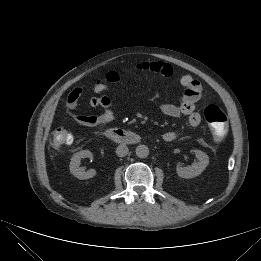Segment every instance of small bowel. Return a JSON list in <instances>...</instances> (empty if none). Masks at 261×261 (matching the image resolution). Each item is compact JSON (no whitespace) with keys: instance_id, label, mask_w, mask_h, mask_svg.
I'll return each mask as SVG.
<instances>
[{"instance_id":"1","label":"small bowel","mask_w":261,"mask_h":261,"mask_svg":"<svg viewBox=\"0 0 261 261\" xmlns=\"http://www.w3.org/2000/svg\"><path fill=\"white\" fill-rule=\"evenodd\" d=\"M137 68L142 71H150L159 74L165 78L173 75V67L164 62H144L138 64ZM180 85L184 91L177 104L164 103L160 105V110L163 114L178 118L181 115L188 116L191 126L196 127L201 123V116L197 111L198 102L203 96L202 86L199 81L190 75H183L180 78ZM108 86L105 83L98 82L94 85L93 91L95 94H101L108 91ZM82 90L74 88L66 99V105L70 110H76L80 105V97ZM88 106L91 108L101 107L102 113L95 114H75L73 116L75 122L85 127H95L108 125L115 119V112L113 101L108 96H95L88 101ZM174 131H166L163 133L162 138L166 142H172L176 139Z\"/></svg>"}]
</instances>
